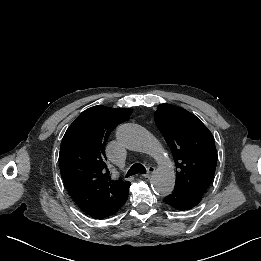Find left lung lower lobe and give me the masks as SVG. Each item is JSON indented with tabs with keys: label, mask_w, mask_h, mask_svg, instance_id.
<instances>
[{
	"label": "left lung lower lobe",
	"mask_w": 261,
	"mask_h": 261,
	"mask_svg": "<svg viewBox=\"0 0 261 261\" xmlns=\"http://www.w3.org/2000/svg\"><path fill=\"white\" fill-rule=\"evenodd\" d=\"M163 201L176 210L185 211L198 205L201 197L182 188L175 187L172 194L166 196Z\"/></svg>",
	"instance_id": "1"
}]
</instances>
